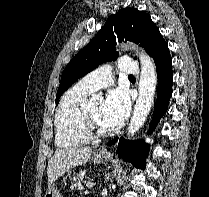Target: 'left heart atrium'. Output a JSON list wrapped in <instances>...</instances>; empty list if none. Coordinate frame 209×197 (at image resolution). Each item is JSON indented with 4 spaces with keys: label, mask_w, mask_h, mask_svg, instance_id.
<instances>
[{
    "label": "left heart atrium",
    "mask_w": 209,
    "mask_h": 197,
    "mask_svg": "<svg viewBox=\"0 0 209 197\" xmlns=\"http://www.w3.org/2000/svg\"><path fill=\"white\" fill-rule=\"evenodd\" d=\"M129 110L130 100L127 91L124 88L112 89L107 93L102 105V121L109 128H116L124 122Z\"/></svg>",
    "instance_id": "1"
}]
</instances>
